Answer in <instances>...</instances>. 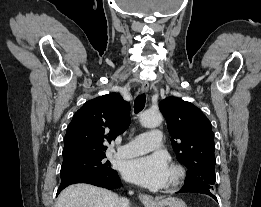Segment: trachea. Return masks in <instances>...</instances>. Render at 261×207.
I'll return each instance as SVG.
<instances>
[{
    "label": "trachea",
    "mask_w": 261,
    "mask_h": 207,
    "mask_svg": "<svg viewBox=\"0 0 261 207\" xmlns=\"http://www.w3.org/2000/svg\"><path fill=\"white\" fill-rule=\"evenodd\" d=\"M145 102H146L145 93L137 96V98L135 99V102H134V112H135V114H138L140 111H142L144 109Z\"/></svg>",
    "instance_id": "3493384b"
}]
</instances>
